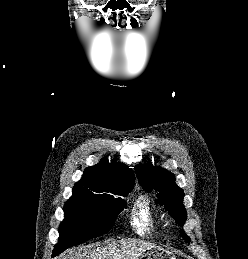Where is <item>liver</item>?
<instances>
[{"label": "liver", "instance_id": "liver-1", "mask_svg": "<svg viewBox=\"0 0 248 259\" xmlns=\"http://www.w3.org/2000/svg\"><path fill=\"white\" fill-rule=\"evenodd\" d=\"M154 247L152 244L139 239H126L118 242H111L105 246L70 250L61 255L58 259H136L146 249Z\"/></svg>", "mask_w": 248, "mask_h": 259}]
</instances>
